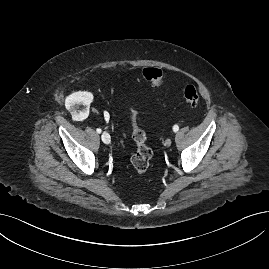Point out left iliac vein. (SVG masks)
I'll list each match as a JSON object with an SVG mask.
<instances>
[{
  "mask_svg": "<svg viewBox=\"0 0 269 269\" xmlns=\"http://www.w3.org/2000/svg\"><path fill=\"white\" fill-rule=\"evenodd\" d=\"M171 143H172L171 139H166L164 144H165V146L169 147L171 145Z\"/></svg>",
  "mask_w": 269,
  "mask_h": 269,
  "instance_id": "left-iliac-vein-1",
  "label": "left iliac vein"
}]
</instances>
